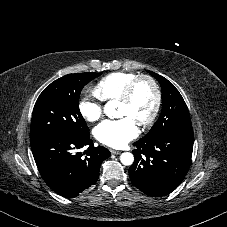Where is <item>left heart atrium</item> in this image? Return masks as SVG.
<instances>
[{
  "mask_svg": "<svg viewBox=\"0 0 227 227\" xmlns=\"http://www.w3.org/2000/svg\"><path fill=\"white\" fill-rule=\"evenodd\" d=\"M137 133L136 124L128 117L104 120L94 130L98 141L113 148L124 147Z\"/></svg>",
  "mask_w": 227,
  "mask_h": 227,
  "instance_id": "obj_1",
  "label": "left heart atrium"
}]
</instances>
